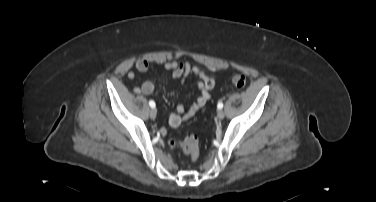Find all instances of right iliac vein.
<instances>
[{
    "label": "right iliac vein",
    "instance_id": "right-iliac-vein-1",
    "mask_svg": "<svg viewBox=\"0 0 376 202\" xmlns=\"http://www.w3.org/2000/svg\"><path fill=\"white\" fill-rule=\"evenodd\" d=\"M156 115H157V111H156V109L152 108V109L150 110V117H151L152 119H155V118H156Z\"/></svg>",
    "mask_w": 376,
    "mask_h": 202
}]
</instances>
